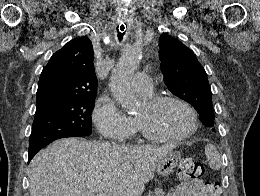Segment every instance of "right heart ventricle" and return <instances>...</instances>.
Segmentation results:
<instances>
[{"mask_svg":"<svg viewBox=\"0 0 260 196\" xmlns=\"http://www.w3.org/2000/svg\"><path fill=\"white\" fill-rule=\"evenodd\" d=\"M152 95H153V93L152 94H150V95H142L144 98H151L152 97Z\"/></svg>","mask_w":260,"mask_h":196,"instance_id":"1","label":"right heart ventricle"}]
</instances>
